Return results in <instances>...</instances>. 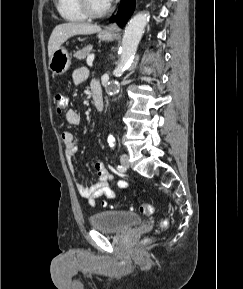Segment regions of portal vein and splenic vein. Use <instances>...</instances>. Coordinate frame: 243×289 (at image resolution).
I'll return each mask as SVG.
<instances>
[{
    "label": "portal vein and splenic vein",
    "instance_id": "obj_1",
    "mask_svg": "<svg viewBox=\"0 0 243 289\" xmlns=\"http://www.w3.org/2000/svg\"><path fill=\"white\" fill-rule=\"evenodd\" d=\"M94 58H95L94 55H89V56L87 57L86 62H87V65H88V66H92V65H93Z\"/></svg>",
    "mask_w": 243,
    "mask_h": 289
}]
</instances>
